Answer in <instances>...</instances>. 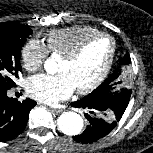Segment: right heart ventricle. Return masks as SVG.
I'll return each mask as SVG.
<instances>
[{
    "label": "right heart ventricle",
    "instance_id": "right-heart-ventricle-1",
    "mask_svg": "<svg viewBox=\"0 0 153 153\" xmlns=\"http://www.w3.org/2000/svg\"><path fill=\"white\" fill-rule=\"evenodd\" d=\"M97 33L100 31L91 26H70L51 30L45 38L46 47L50 52L64 56L85 38Z\"/></svg>",
    "mask_w": 153,
    "mask_h": 153
}]
</instances>
